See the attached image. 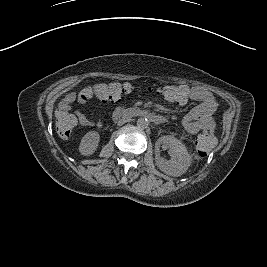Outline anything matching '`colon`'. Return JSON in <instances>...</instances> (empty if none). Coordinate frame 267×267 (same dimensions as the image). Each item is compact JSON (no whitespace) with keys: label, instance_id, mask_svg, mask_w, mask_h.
<instances>
[{"label":"colon","instance_id":"obj_1","mask_svg":"<svg viewBox=\"0 0 267 267\" xmlns=\"http://www.w3.org/2000/svg\"><path fill=\"white\" fill-rule=\"evenodd\" d=\"M133 90L128 83H98L83 88L80 96L86 102L97 100L102 103L118 102ZM157 92L167 101L181 103L186 99L187 93L179 86L163 85L157 88ZM76 124L75 118L66 110H61L56 115V131L58 135L66 139L70 136ZM216 139L212 132L202 131L196 138V150L201 156H207L215 147Z\"/></svg>","mask_w":267,"mask_h":267}]
</instances>
